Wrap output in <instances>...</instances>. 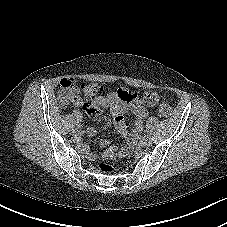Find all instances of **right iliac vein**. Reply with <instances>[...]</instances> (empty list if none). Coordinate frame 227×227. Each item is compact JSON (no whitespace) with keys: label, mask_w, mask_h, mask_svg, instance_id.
I'll return each instance as SVG.
<instances>
[{"label":"right iliac vein","mask_w":227,"mask_h":227,"mask_svg":"<svg viewBox=\"0 0 227 227\" xmlns=\"http://www.w3.org/2000/svg\"><path fill=\"white\" fill-rule=\"evenodd\" d=\"M71 133L73 134V136H77L79 134L77 129L72 130Z\"/></svg>","instance_id":"right-iliac-vein-1"}]
</instances>
